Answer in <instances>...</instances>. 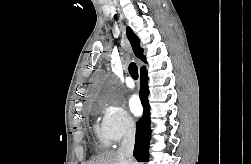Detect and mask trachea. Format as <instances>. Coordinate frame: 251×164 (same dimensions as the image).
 <instances>
[{"mask_svg":"<svg viewBox=\"0 0 251 164\" xmlns=\"http://www.w3.org/2000/svg\"><path fill=\"white\" fill-rule=\"evenodd\" d=\"M128 69H129V73H130L131 77L133 79L137 80L138 79V68H137V65L134 62H132V63H130Z\"/></svg>","mask_w":251,"mask_h":164,"instance_id":"3493384b","label":"trachea"}]
</instances>
